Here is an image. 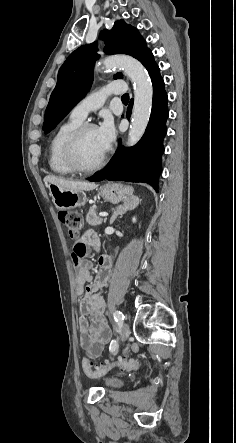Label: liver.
Returning a JSON list of instances; mask_svg holds the SVG:
<instances>
[{
  "label": "liver",
  "mask_w": 236,
  "mask_h": 443,
  "mask_svg": "<svg viewBox=\"0 0 236 443\" xmlns=\"http://www.w3.org/2000/svg\"><path fill=\"white\" fill-rule=\"evenodd\" d=\"M45 183H50L57 185L62 188L70 190H93L97 187L95 183L90 182H80V181H70L57 176H46L44 178Z\"/></svg>",
  "instance_id": "6515ba94"
}]
</instances>
